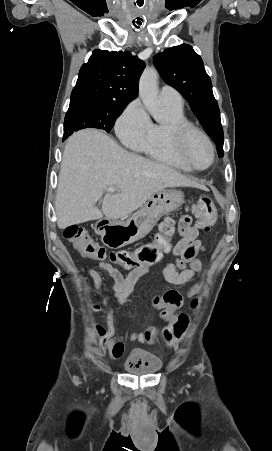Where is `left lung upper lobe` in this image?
I'll return each mask as SVG.
<instances>
[{
	"mask_svg": "<svg viewBox=\"0 0 272 451\" xmlns=\"http://www.w3.org/2000/svg\"><path fill=\"white\" fill-rule=\"evenodd\" d=\"M154 64L167 84L189 102L194 114L223 157V129L212 83L201 57L188 44L171 47L154 56Z\"/></svg>",
	"mask_w": 272,
	"mask_h": 451,
	"instance_id": "left-lung-upper-lobe-1",
	"label": "left lung upper lobe"
}]
</instances>
